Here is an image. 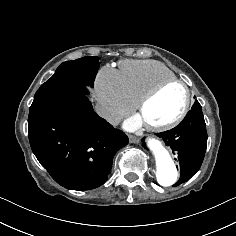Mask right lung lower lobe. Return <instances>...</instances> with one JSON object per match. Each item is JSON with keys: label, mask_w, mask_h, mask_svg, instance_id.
Wrapping results in <instances>:
<instances>
[{"label": "right lung lower lobe", "mask_w": 236, "mask_h": 236, "mask_svg": "<svg viewBox=\"0 0 236 236\" xmlns=\"http://www.w3.org/2000/svg\"><path fill=\"white\" fill-rule=\"evenodd\" d=\"M28 136L41 165L57 183L72 190L102 185L114 155L129 141L93 111L85 95L30 109Z\"/></svg>", "instance_id": "1"}]
</instances>
